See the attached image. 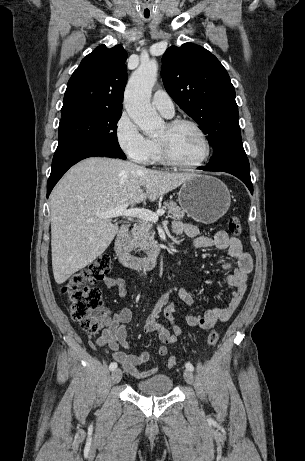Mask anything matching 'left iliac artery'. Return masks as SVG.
<instances>
[{"instance_id": "44dca946", "label": "left iliac artery", "mask_w": 305, "mask_h": 461, "mask_svg": "<svg viewBox=\"0 0 305 461\" xmlns=\"http://www.w3.org/2000/svg\"><path fill=\"white\" fill-rule=\"evenodd\" d=\"M185 367H186V369H188V370H190V371H193V370H194V367H193V365H192L190 362H187V363L185 364Z\"/></svg>"}]
</instances>
